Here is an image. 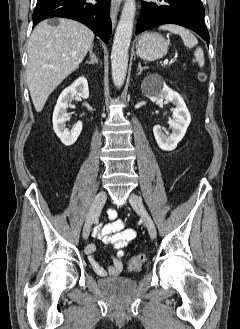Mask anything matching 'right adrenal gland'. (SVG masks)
<instances>
[{"mask_svg":"<svg viewBox=\"0 0 240 329\" xmlns=\"http://www.w3.org/2000/svg\"><path fill=\"white\" fill-rule=\"evenodd\" d=\"M90 52V61H86L87 64H98V59L96 55L92 52V48L89 50Z\"/></svg>","mask_w":240,"mask_h":329,"instance_id":"right-adrenal-gland-1","label":"right adrenal gland"}]
</instances>
